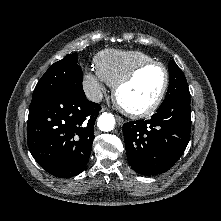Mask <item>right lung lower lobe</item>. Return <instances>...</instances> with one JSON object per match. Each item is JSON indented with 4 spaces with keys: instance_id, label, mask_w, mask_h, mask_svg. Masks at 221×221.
Segmentation results:
<instances>
[{
    "instance_id": "right-lung-lower-lobe-1",
    "label": "right lung lower lobe",
    "mask_w": 221,
    "mask_h": 221,
    "mask_svg": "<svg viewBox=\"0 0 221 221\" xmlns=\"http://www.w3.org/2000/svg\"><path fill=\"white\" fill-rule=\"evenodd\" d=\"M100 109L84 93L70 90L55 92L29 107L28 147L46 172L69 178L85 169Z\"/></svg>"
}]
</instances>
